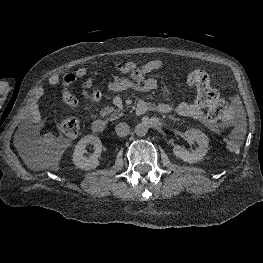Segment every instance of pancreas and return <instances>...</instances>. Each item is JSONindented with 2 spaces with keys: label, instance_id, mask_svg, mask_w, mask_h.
Masks as SVG:
<instances>
[{
  "label": "pancreas",
  "instance_id": "cf45deb5",
  "mask_svg": "<svg viewBox=\"0 0 263 263\" xmlns=\"http://www.w3.org/2000/svg\"><path fill=\"white\" fill-rule=\"evenodd\" d=\"M101 115H110V120H115L123 116V113L119 109H114L113 107L107 106L101 110Z\"/></svg>",
  "mask_w": 263,
  "mask_h": 263
}]
</instances>
